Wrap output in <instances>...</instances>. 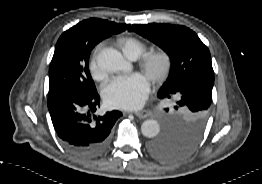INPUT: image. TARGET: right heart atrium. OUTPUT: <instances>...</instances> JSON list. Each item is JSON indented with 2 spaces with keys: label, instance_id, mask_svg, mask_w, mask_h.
Instances as JSON below:
<instances>
[{
  "label": "right heart atrium",
  "instance_id": "1",
  "mask_svg": "<svg viewBox=\"0 0 262 184\" xmlns=\"http://www.w3.org/2000/svg\"><path fill=\"white\" fill-rule=\"evenodd\" d=\"M91 74L97 81H107L109 78V69L107 63L102 59L94 58L93 63L91 64Z\"/></svg>",
  "mask_w": 262,
  "mask_h": 184
}]
</instances>
